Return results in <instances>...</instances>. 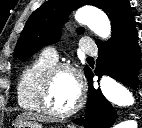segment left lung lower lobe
Listing matches in <instances>:
<instances>
[{
    "mask_svg": "<svg viewBox=\"0 0 142 128\" xmlns=\"http://www.w3.org/2000/svg\"><path fill=\"white\" fill-rule=\"evenodd\" d=\"M95 74H106L125 83L134 90L138 85V73L141 69V50L138 46V33L135 22L107 43L98 46ZM89 81V97L85 117L74 123L85 128H111L117 115L111 103L102 95L100 89L93 88L94 74L89 69L85 74Z\"/></svg>",
    "mask_w": 142,
    "mask_h": 128,
    "instance_id": "0a47b994",
    "label": "left lung lower lobe"
}]
</instances>
